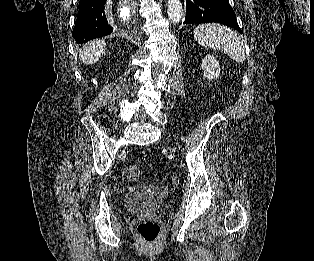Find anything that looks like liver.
<instances>
[{"instance_id":"liver-1","label":"liver","mask_w":314,"mask_h":261,"mask_svg":"<svg viewBox=\"0 0 314 261\" xmlns=\"http://www.w3.org/2000/svg\"><path fill=\"white\" fill-rule=\"evenodd\" d=\"M105 46L104 40H96L85 44L80 51V59L87 65L96 63L105 53Z\"/></svg>"}]
</instances>
